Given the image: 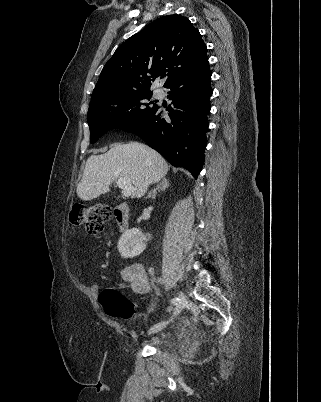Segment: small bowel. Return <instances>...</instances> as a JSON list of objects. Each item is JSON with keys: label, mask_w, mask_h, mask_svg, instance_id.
<instances>
[{"label": "small bowel", "mask_w": 321, "mask_h": 402, "mask_svg": "<svg viewBox=\"0 0 321 402\" xmlns=\"http://www.w3.org/2000/svg\"><path fill=\"white\" fill-rule=\"evenodd\" d=\"M120 287H127L137 294H147L151 289V283L145 268L139 263L127 266L121 274ZM90 289L97 292L99 287L96 284H92Z\"/></svg>", "instance_id": "small-bowel-1"}]
</instances>
